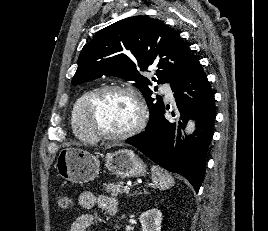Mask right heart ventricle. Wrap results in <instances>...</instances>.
Returning a JSON list of instances; mask_svg holds the SVG:
<instances>
[{"instance_id": "1", "label": "right heart ventricle", "mask_w": 268, "mask_h": 231, "mask_svg": "<svg viewBox=\"0 0 268 231\" xmlns=\"http://www.w3.org/2000/svg\"><path fill=\"white\" fill-rule=\"evenodd\" d=\"M96 90L91 87L84 91L81 96L74 102L70 111V120L74 134L82 141L92 143L96 139L89 131L84 117L85 105L90 95Z\"/></svg>"}]
</instances>
